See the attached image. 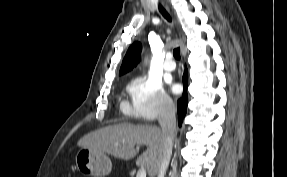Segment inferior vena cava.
<instances>
[{"instance_id": "1", "label": "inferior vena cava", "mask_w": 287, "mask_h": 177, "mask_svg": "<svg viewBox=\"0 0 287 177\" xmlns=\"http://www.w3.org/2000/svg\"><path fill=\"white\" fill-rule=\"evenodd\" d=\"M158 121L162 129L163 148L157 177H165L172 154L173 138L176 128V108L171 99L164 101L159 112Z\"/></svg>"}]
</instances>
